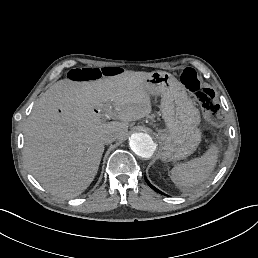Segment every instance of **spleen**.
<instances>
[{
    "label": "spleen",
    "mask_w": 258,
    "mask_h": 258,
    "mask_svg": "<svg viewBox=\"0 0 258 258\" xmlns=\"http://www.w3.org/2000/svg\"><path fill=\"white\" fill-rule=\"evenodd\" d=\"M217 158L218 149L211 146L203 156L177 164L171 170V180L183 192H191L210 177Z\"/></svg>",
    "instance_id": "spleen-1"
}]
</instances>
